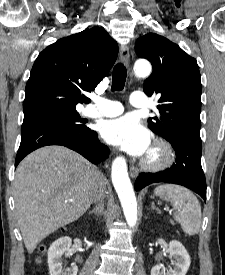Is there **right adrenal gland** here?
<instances>
[{"label": "right adrenal gland", "instance_id": "2a0ac1e0", "mask_svg": "<svg viewBox=\"0 0 225 275\" xmlns=\"http://www.w3.org/2000/svg\"><path fill=\"white\" fill-rule=\"evenodd\" d=\"M103 208V203L99 202L96 207L92 211H90L89 214H95L97 217H99L103 212Z\"/></svg>", "mask_w": 225, "mask_h": 275}]
</instances>
